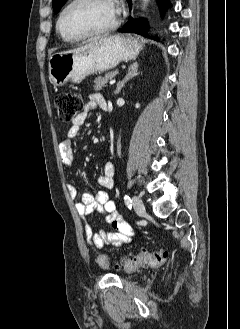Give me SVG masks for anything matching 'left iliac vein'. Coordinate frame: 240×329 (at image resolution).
Here are the masks:
<instances>
[{"label":"left iliac vein","mask_w":240,"mask_h":329,"mask_svg":"<svg viewBox=\"0 0 240 329\" xmlns=\"http://www.w3.org/2000/svg\"><path fill=\"white\" fill-rule=\"evenodd\" d=\"M132 200H133V203H132L133 207H134L135 211L137 212V214L143 215L145 213V206H144L141 198L138 196H133Z\"/></svg>","instance_id":"left-iliac-vein-1"}]
</instances>
